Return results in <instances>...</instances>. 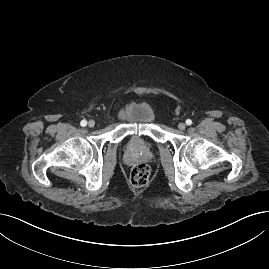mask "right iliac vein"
I'll return each instance as SVG.
<instances>
[{
    "instance_id": "obj_1",
    "label": "right iliac vein",
    "mask_w": 269,
    "mask_h": 269,
    "mask_svg": "<svg viewBox=\"0 0 269 269\" xmlns=\"http://www.w3.org/2000/svg\"><path fill=\"white\" fill-rule=\"evenodd\" d=\"M88 126H89L90 128H93V127L95 126V121H94V120H89V122H88Z\"/></svg>"
}]
</instances>
